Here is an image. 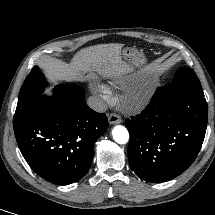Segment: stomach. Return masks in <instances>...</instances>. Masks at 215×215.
<instances>
[{
  "label": "stomach",
  "instance_id": "0dacf381",
  "mask_svg": "<svg viewBox=\"0 0 215 215\" xmlns=\"http://www.w3.org/2000/svg\"><path fill=\"white\" fill-rule=\"evenodd\" d=\"M123 58L128 61L132 66H142L146 59L144 56L139 53L136 49L133 48H125L122 50Z\"/></svg>",
  "mask_w": 215,
  "mask_h": 215
}]
</instances>
